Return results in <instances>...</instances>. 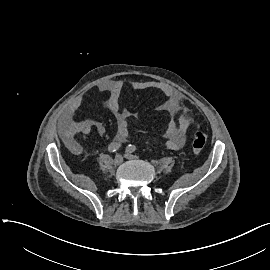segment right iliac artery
<instances>
[{
    "label": "right iliac artery",
    "mask_w": 270,
    "mask_h": 270,
    "mask_svg": "<svg viewBox=\"0 0 270 270\" xmlns=\"http://www.w3.org/2000/svg\"><path fill=\"white\" fill-rule=\"evenodd\" d=\"M120 147H121V144H120V143L112 142V143L108 146V151H109V152H115V151H117Z\"/></svg>",
    "instance_id": "obj_1"
}]
</instances>
